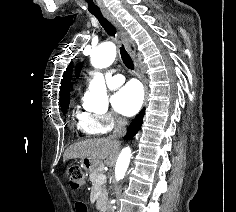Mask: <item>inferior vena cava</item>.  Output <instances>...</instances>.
I'll return each instance as SVG.
<instances>
[{"label": "inferior vena cava", "mask_w": 236, "mask_h": 212, "mask_svg": "<svg viewBox=\"0 0 236 212\" xmlns=\"http://www.w3.org/2000/svg\"><path fill=\"white\" fill-rule=\"evenodd\" d=\"M126 125V119L118 118L115 124L114 131L110 137L113 139L123 137L126 134Z\"/></svg>", "instance_id": "1"}]
</instances>
